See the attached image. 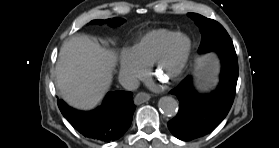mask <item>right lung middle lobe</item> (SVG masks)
<instances>
[{"instance_id":"dd1d6c3e","label":"right lung middle lobe","mask_w":279,"mask_h":148,"mask_svg":"<svg viewBox=\"0 0 279 148\" xmlns=\"http://www.w3.org/2000/svg\"><path fill=\"white\" fill-rule=\"evenodd\" d=\"M124 22V19H119V18H114V19H112V20H110V19H107V20H93V21H91L90 22V24H104V23H108L110 26H112V27H116V26H118V25H120V24H122Z\"/></svg>"}]
</instances>
